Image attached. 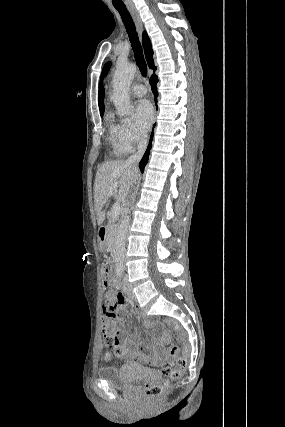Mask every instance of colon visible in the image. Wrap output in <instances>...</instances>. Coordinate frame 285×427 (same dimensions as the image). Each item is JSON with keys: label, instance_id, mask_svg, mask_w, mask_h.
Segmentation results:
<instances>
[{"label": "colon", "instance_id": "1", "mask_svg": "<svg viewBox=\"0 0 285 427\" xmlns=\"http://www.w3.org/2000/svg\"><path fill=\"white\" fill-rule=\"evenodd\" d=\"M104 284V309L105 316L102 323L103 340L108 349L106 358L111 360L124 351V346L118 338L116 319L114 309L116 308L117 293L114 284L110 280L111 268L109 263L105 262L101 267ZM168 324L176 331H179L178 322L173 319L167 320ZM185 351L179 354V348L173 347L169 356L174 358L173 362H164L162 370L164 378L160 384L147 386L145 388V398L149 403L157 402L162 394L168 390L170 381L180 376L182 370L187 365ZM150 364L155 365V356H151Z\"/></svg>", "mask_w": 285, "mask_h": 427}]
</instances>
